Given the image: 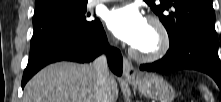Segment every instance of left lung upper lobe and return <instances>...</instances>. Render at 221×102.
I'll return each instance as SVG.
<instances>
[{
  "label": "left lung upper lobe",
  "instance_id": "1",
  "mask_svg": "<svg viewBox=\"0 0 221 102\" xmlns=\"http://www.w3.org/2000/svg\"><path fill=\"white\" fill-rule=\"evenodd\" d=\"M148 4L165 26L170 43L192 34L218 45L212 0H161L158 6L150 0Z\"/></svg>",
  "mask_w": 221,
  "mask_h": 102
}]
</instances>
